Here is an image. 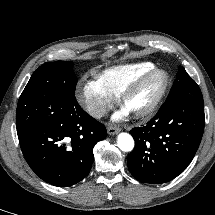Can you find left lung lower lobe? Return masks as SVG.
Returning <instances> with one entry per match:
<instances>
[{"mask_svg":"<svg viewBox=\"0 0 215 215\" xmlns=\"http://www.w3.org/2000/svg\"><path fill=\"white\" fill-rule=\"evenodd\" d=\"M204 104L166 101L146 126L130 133L135 149L128 169L140 182H169L190 164L204 131Z\"/></svg>","mask_w":215,"mask_h":215,"instance_id":"obj_1","label":"left lung lower lobe"}]
</instances>
